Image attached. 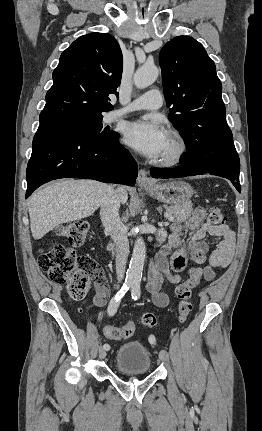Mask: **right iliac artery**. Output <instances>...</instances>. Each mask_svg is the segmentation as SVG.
Masks as SVG:
<instances>
[{
    "label": "right iliac artery",
    "instance_id": "right-iliac-artery-1",
    "mask_svg": "<svg viewBox=\"0 0 262 431\" xmlns=\"http://www.w3.org/2000/svg\"><path fill=\"white\" fill-rule=\"evenodd\" d=\"M132 282L125 281L121 289L115 294V296L111 299L108 306V314L109 316H113L119 307L120 299L125 295V293L131 288ZM103 348L105 350H109L110 346L108 344H104Z\"/></svg>",
    "mask_w": 262,
    "mask_h": 431
}]
</instances>
